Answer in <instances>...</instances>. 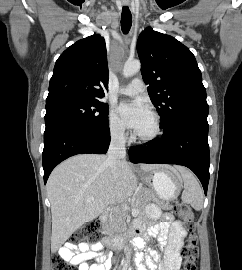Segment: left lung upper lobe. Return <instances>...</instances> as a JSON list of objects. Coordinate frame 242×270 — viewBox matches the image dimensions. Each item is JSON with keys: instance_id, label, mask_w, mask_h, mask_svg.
Here are the masks:
<instances>
[{"instance_id": "5c2ea615", "label": "left lung upper lobe", "mask_w": 242, "mask_h": 270, "mask_svg": "<svg viewBox=\"0 0 242 270\" xmlns=\"http://www.w3.org/2000/svg\"><path fill=\"white\" fill-rule=\"evenodd\" d=\"M137 52L142 78L161 117V128L183 118L208 116L201 71L186 46L148 27L139 35Z\"/></svg>"}]
</instances>
